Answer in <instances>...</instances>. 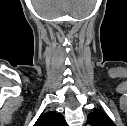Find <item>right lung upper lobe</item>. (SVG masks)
<instances>
[{"label": "right lung upper lobe", "mask_w": 127, "mask_h": 126, "mask_svg": "<svg viewBox=\"0 0 127 126\" xmlns=\"http://www.w3.org/2000/svg\"><path fill=\"white\" fill-rule=\"evenodd\" d=\"M34 126H67L64 117L56 112L42 113Z\"/></svg>", "instance_id": "obj_1"}]
</instances>
